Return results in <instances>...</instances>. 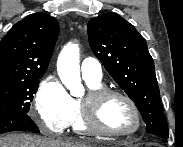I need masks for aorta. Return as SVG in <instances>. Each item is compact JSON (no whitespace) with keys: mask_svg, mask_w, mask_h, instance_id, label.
I'll return each mask as SVG.
<instances>
[{"mask_svg":"<svg viewBox=\"0 0 183 147\" xmlns=\"http://www.w3.org/2000/svg\"><path fill=\"white\" fill-rule=\"evenodd\" d=\"M79 56L78 44L68 43L60 52L57 61L58 75L71 95L75 97L84 94L80 77Z\"/></svg>","mask_w":183,"mask_h":147,"instance_id":"obj_1","label":"aorta"}]
</instances>
